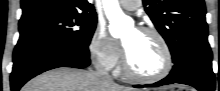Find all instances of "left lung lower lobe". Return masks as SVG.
<instances>
[{"mask_svg": "<svg viewBox=\"0 0 220 91\" xmlns=\"http://www.w3.org/2000/svg\"><path fill=\"white\" fill-rule=\"evenodd\" d=\"M173 83L190 85L199 91H214L216 84L212 71L211 50L185 53L183 58L174 64L172 71L166 78L154 84L144 86L135 85V87H158Z\"/></svg>", "mask_w": 220, "mask_h": 91, "instance_id": "0a47b994", "label": "left lung lower lobe"}]
</instances>
